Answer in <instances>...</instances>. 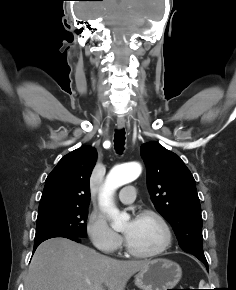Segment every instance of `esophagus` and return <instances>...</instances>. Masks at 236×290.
Masks as SVG:
<instances>
[{"mask_svg": "<svg viewBox=\"0 0 236 290\" xmlns=\"http://www.w3.org/2000/svg\"><path fill=\"white\" fill-rule=\"evenodd\" d=\"M117 127L119 129H123L125 127V119L124 117L120 116L117 118Z\"/></svg>", "mask_w": 236, "mask_h": 290, "instance_id": "esophagus-1", "label": "esophagus"}]
</instances>
